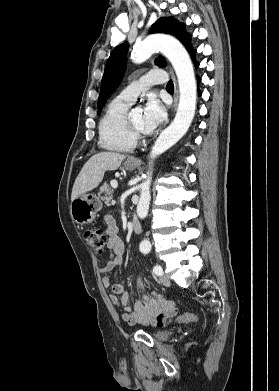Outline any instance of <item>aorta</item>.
Segmentation results:
<instances>
[{
    "mask_svg": "<svg viewBox=\"0 0 279 391\" xmlns=\"http://www.w3.org/2000/svg\"><path fill=\"white\" fill-rule=\"evenodd\" d=\"M161 51L171 62L179 84V105L173 122L162 131L150 151V163L177 143L189 129L196 109V80L194 69L188 52L183 45L173 37L165 35H152L134 45L131 58L135 63H142L155 51ZM152 170L147 172L145 181L140 186V198L137 205V215L144 219L149 210L151 195L150 185ZM142 252H149L151 243L143 240L139 246Z\"/></svg>",
    "mask_w": 279,
    "mask_h": 391,
    "instance_id": "762f6f07",
    "label": "aorta"
}]
</instances>
